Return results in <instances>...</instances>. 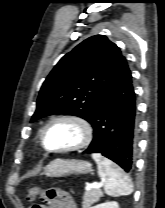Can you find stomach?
I'll list each match as a JSON object with an SVG mask.
<instances>
[{"instance_id": "0dacf381", "label": "stomach", "mask_w": 165, "mask_h": 208, "mask_svg": "<svg viewBox=\"0 0 165 208\" xmlns=\"http://www.w3.org/2000/svg\"><path fill=\"white\" fill-rule=\"evenodd\" d=\"M92 172V165L88 161L74 159H55L45 168L48 177H63L71 174H86Z\"/></svg>"}]
</instances>
